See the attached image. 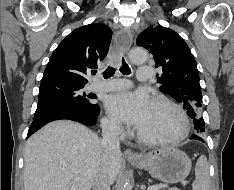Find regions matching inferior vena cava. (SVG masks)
<instances>
[{"label": "inferior vena cava", "mask_w": 234, "mask_h": 190, "mask_svg": "<svg viewBox=\"0 0 234 190\" xmlns=\"http://www.w3.org/2000/svg\"><path fill=\"white\" fill-rule=\"evenodd\" d=\"M119 129L120 125L117 122L102 123V146L105 157L109 153L120 152ZM110 184L107 167L104 165L97 172L93 183V190H110Z\"/></svg>", "instance_id": "inferior-vena-cava-1"}]
</instances>
